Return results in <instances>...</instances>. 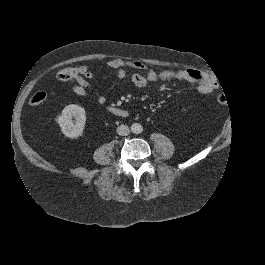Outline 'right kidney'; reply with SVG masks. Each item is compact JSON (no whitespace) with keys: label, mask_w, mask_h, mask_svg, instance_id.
<instances>
[{"label":"right kidney","mask_w":265,"mask_h":265,"mask_svg":"<svg viewBox=\"0 0 265 265\" xmlns=\"http://www.w3.org/2000/svg\"><path fill=\"white\" fill-rule=\"evenodd\" d=\"M73 116L77 118L76 125L72 124L71 117ZM58 124L64 137L69 138L70 140L79 138L82 135L86 124L85 109L77 104L66 106L63 109L62 114L58 117Z\"/></svg>","instance_id":"1"}]
</instances>
